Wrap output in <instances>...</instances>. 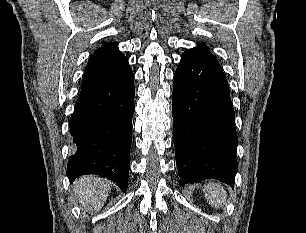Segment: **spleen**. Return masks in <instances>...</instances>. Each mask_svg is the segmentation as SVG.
I'll return each instance as SVG.
<instances>
[{
    "label": "spleen",
    "instance_id": "spleen-1",
    "mask_svg": "<svg viewBox=\"0 0 306 233\" xmlns=\"http://www.w3.org/2000/svg\"><path fill=\"white\" fill-rule=\"evenodd\" d=\"M203 192L211 207H222L226 202V191L219 183L210 181L207 186H204Z\"/></svg>",
    "mask_w": 306,
    "mask_h": 233
}]
</instances>
